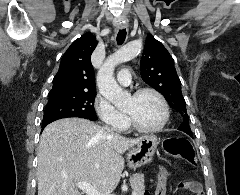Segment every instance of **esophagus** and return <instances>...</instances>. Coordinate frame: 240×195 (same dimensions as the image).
<instances>
[{
    "instance_id": "1",
    "label": "esophagus",
    "mask_w": 240,
    "mask_h": 195,
    "mask_svg": "<svg viewBox=\"0 0 240 195\" xmlns=\"http://www.w3.org/2000/svg\"><path fill=\"white\" fill-rule=\"evenodd\" d=\"M116 29H121V28H125L126 24H116L114 25Z\"/></svg>"
}]
</instances>
